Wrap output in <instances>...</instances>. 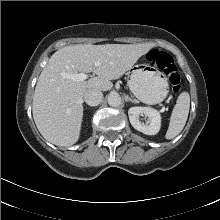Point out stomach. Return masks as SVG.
<instances>
[{
    "label": "stomach",
    "mask_w": 220,
    "mask_h": 220,
    "mask_svg": "<svg viewBox=\"0 0 220 220\" xmlns=\"http://www.w3.org/2000/svg\"><path fill=\"white\" fill-rule=\"evenodd\" d=\"M128 86L135 97L147 104L160 103L169 93L167 77L155 67L146 64L132 67Z\"/></svg>",
    "instance_id": "stomach-1"
}]
</instances>
